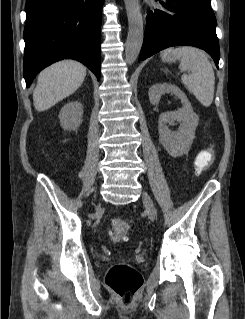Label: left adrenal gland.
I'll use <instances>...</instances> for the list:
<instances>
[{
  "label": "left adrenal gland",
  "mask_w": 245,
  "mask_h": 319,
  "mask_svg": "<svg viewBox=\"0 0 245 319\" xmlns=\"http://www.w3.org/2000/svg\"><path fill=\"white\" fill-rule=\"evenodd\" d=\"M164 72H168V69H165Z\"/></svg>",
  "instance_id": "1"
}]
</instances>
